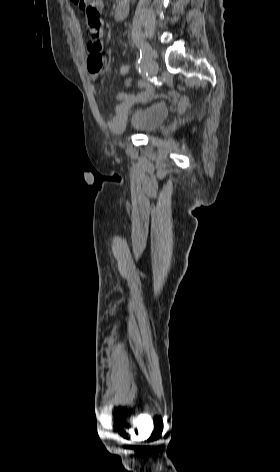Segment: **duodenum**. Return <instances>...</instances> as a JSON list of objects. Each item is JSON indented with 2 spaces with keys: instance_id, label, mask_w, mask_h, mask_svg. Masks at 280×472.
<instances>
[{
  "instance_id": "1",
  "label": "duodenum",
  "mask_w": 280,
  "mask_h": 472,
  "mask_svg": "<svg viewBox=\"0 0 280 472\" xmlns=\"http://www.w3.org/2000/svg\"><path fill=\"white\" fill-rule=\"evenodd\" d=\"M127 16V9L124 6L117 5L114 17L117 21L123 20Z\"/></svg>"
}]
</instances>
